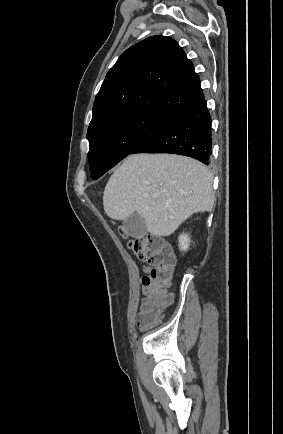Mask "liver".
<instances>
[{"label":"liver","instance_id":"obj_1","mask_svg":"<svg viewBox=\"0 0 283 434\" xmlns=\"http://www.w3.org/2000/svg\"><path fill=\"white\" fill-rule=\"evenodd\" d=\"M213 176L199 161L175 154H134L108 180L103 205L114 220L137 213L147 231L169 236L186 219L212 209Z\"/></svg>","mask_w":283,"mask_h":434}]
</instances>
